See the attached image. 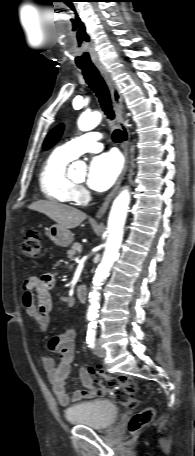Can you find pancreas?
<instances>
[{
    "label": "pancreas",
    "instance_id": "obj_1",
    "mask_svg": "<svg viewBox=\"0 0 195 456\" xmlns=\"http://www.w3.org/2000/svg\"><path fill=\"white\" fill-rule=\"evenodd\" d=\"M78 246H81L79 243L75 242L72 244L71 248L67 251V255L69 258H73L74 255L76 254L77 252V247Z\"/></svg>",
    "mask_w": 195,
    "mask_h": 456
}]
</instances>
